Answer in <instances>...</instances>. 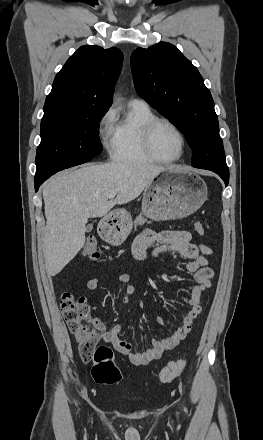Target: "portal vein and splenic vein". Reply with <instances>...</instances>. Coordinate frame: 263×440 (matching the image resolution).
<instances>
[{
  "mask_svg": "<svg viewBox=\"0 0 263 440\" xmlns=\"http://www.w3.org/2000/svg\"><path fill=\"white\" fill-rule=\"evenodd\" d=\"M117 190H114V191H112L109 195H108V198L109 199H113L116 195H117Z\"/></svg>",
  "mask_w": 263,
  "mask_h": 440,
  "instance_id": "obj_1",
  "label": "portal vein and splenic vein"
}]
</instances>
